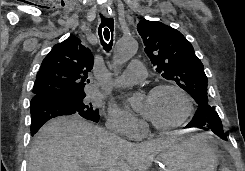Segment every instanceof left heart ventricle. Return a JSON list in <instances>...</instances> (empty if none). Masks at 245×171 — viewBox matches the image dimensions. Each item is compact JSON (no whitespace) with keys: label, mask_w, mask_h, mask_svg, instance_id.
<instances>
[{"label":"left heart ventricle","mask_w":245,"mask_h":171,"mask_svg":"<svg viewBox=\"0 0 245 171\" xmlns=\"http://www.w3.org/2000/svg\"><path fill=\"white\" fill-rule=\"evenodd\" d=\"M143 101V108L147 106L149 109V119L160 125L176 122L181 118L186 108L183 97L175 90H164L146 95Z\"/></svg>","instance_id":"left-heart-ventricle-1"}]
</instances>
